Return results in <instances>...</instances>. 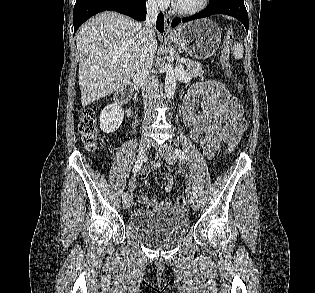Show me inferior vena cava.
I'll return each instance as SVG.
<instances>
[{
  "mask_svg": "<svg viewBox=\"0 0 315 293\" xmlns=\"http://www.w3.org/2000/svg\"><path fill=\"white\" fill-rule=\"evenodd\" d=\"M147 19L141 24L142 31V56L137 67L136 77L142 81V96L144 101L143 130L151 123L152 104L159 97V81L151 77V69L155 57L154 23L158 16L156 0H147Z\"/></svg>",
  "mask_w": 315,
  "mask_h": 293,
  "instance_id": "obj_1",
  "label": "inferior vena cava"
}]
</instances>
